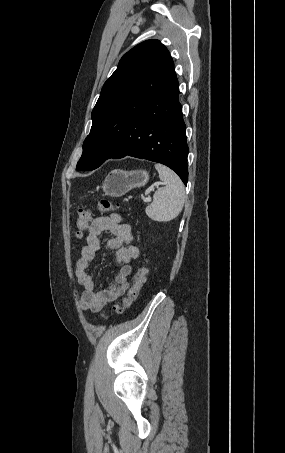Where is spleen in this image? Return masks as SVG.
<instances>
[{"instance_id": "3e777b00", "label": "spleen", "mask_w": 285, "mask_h": 453, "mask_svg": "<svg viewBox=\"0 0 285 453\" xmlns=\"http://www.w3.org/2000/svg\"><path fill=\"white\" fill-rule=\"evenodd\" d=\"M159 178L165 186L159 188L152 203L146 207V215L154 221L168 222L176 218L184 206L185 190L178 175L162 164H155Z\"/></svg>"}]
</instances>
